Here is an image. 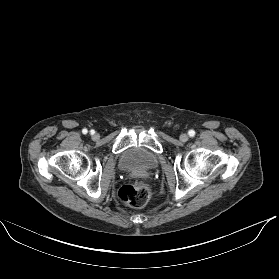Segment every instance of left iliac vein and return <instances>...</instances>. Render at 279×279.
Returning a JSON list of instances; mask_svg holds the SVG:
<instances>
[{"label": "left iliac vein", "instance_id": "left-iliac-vein-1", "mask_svg": "<svg viewBox=\"0 0 279 279\" xmlns=\"http://www.w3.org/2000/svg\"><path fill=\"white\" fill-rule=\"evenodd\" d=\"M179 138L182 142H186L189 139L188 135L185 133L181 134Z\"/></svg>", "mask_w": 279, "mask_h": 279}]
</instances>
